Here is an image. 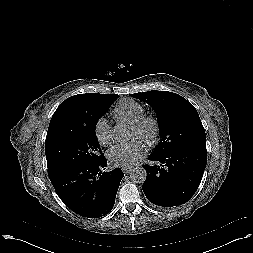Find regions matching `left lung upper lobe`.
I'll return each instance as SVG.
<instances>
[{
  "label": "left lung upper lobe",
  "mask_w": 253,
  "mask_h": 253,
  "mask_svg": "<svg viewBox=\"0 0 253 253\" xmlns=\"http://www.w3.org/2000/svg\"><path fill=\"white\" fill-rule=\"evenodd\" d=\"M149 104L155 111L161 140L154 153L163 154L184 145L206 149L205 130L195 107L182 96L168 91H148L131 94Z\"/></svg>",
  "instance_id": "1"
}]
</instances>
